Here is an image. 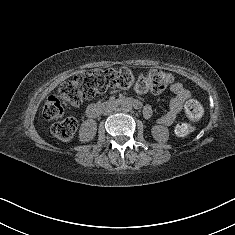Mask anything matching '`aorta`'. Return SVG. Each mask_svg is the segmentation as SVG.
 Returning a JSON list of instances; mask_svg holds the SVG:
<instances>
[{
  "mask_svg": "<svg viewBox=\"0 0 235 235\" xmlns=\"http://www.w3.org/2000/svg\"><path fill=\"white\" fill-rule=\"evenodd\" d=\"M121 109L124 111V112H129L132 108L129 104L127 103H124L121 105Z\"/></svg>",
  "mask_w": 235,
  "mask_h": 235,
  "instance_id": "762f6f07",
  "label": "aorta"
}]
</instances>
